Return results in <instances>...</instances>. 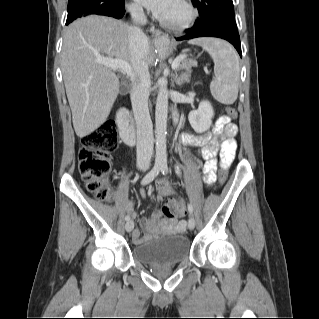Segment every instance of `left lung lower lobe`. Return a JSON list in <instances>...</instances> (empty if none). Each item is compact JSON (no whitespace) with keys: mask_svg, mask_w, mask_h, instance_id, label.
Returning <instances> with one entry per match:
<instances>
[{"mask_svg":"<svg viewBox=\"0 0 319 319\" xmlns=\"http://www.w3.org/2000/svg\"><path fill=\"white\" fill-rule=\"evenodd\" d=\"M188 30L190 31L188 34L178 37L176 40L181 41L205 36L222 38L230 42L242 57L241 43L237 27L221 23H210L200 26H193V28Z\"/></svg>","mask_w":319,"mask_h":319,"instance_id":"obj_1","label":"left lung lower lobe"}]
</instances>
